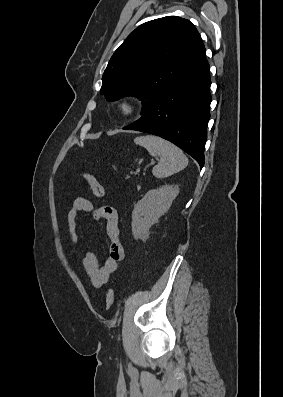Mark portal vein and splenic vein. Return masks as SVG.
Segmentation results:
<instances>
[{
  "label": "portal vein and splenic vein",
  "mask_w": 283,
  "mask_h": 397,
  "mask_svg": "<svg viewBox=\"0 0 283 397\" xmlns=\"http://www.w3.org/2000/svg\"><path fill=\"white\" fill-rule=\"evenodd\" d=\"M155 164V162H151V164L150 165H154ZM148 167V166H147Z\"/></svg>",
  "instance_id": "portal-vein-and-splenic-vein-1"
}]
</instances>
